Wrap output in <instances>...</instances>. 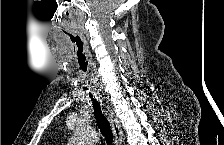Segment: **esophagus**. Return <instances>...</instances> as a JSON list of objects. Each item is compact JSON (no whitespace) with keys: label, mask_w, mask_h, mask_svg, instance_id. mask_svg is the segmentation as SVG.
I'll list each match as a JSON object with an SVG mask.
<instances>
[{"label":"esophagus","mask_w":224,"mask_h":145,"mask_svg":"<svg viewBox=\"0 0 224 145\" xmlns=\"http://www.w3.org/2000/svg\"><path fill=\"white\" fill-rule=\"evenodd\" d=\"M104 112L106 116L108 117V120L110 122L114 137H115V142L117 145H120L123 140V131L121 128L120 121L116 117L115 113L113 110H111L108 106L104 108Z\"/></svg>","instance_id":"34e87169"}]
</instances>
